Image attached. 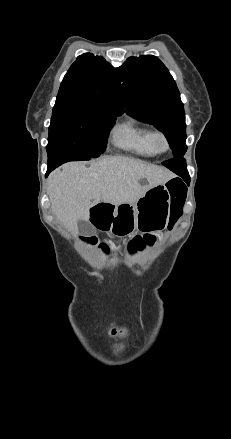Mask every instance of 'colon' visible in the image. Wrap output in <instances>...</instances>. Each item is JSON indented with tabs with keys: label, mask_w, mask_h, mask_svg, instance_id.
<instances>
[{
	"label": "colon",
	"mask_w": 231,
	"mask_h": 439,
	"mask_svg": "<svg viewBox=\"0 0 231 439\" xmlns=\"http://www.w3.org/2000/svg\"><path fill=\"white\" fill-rule=\"evenodd\" d=\"M168 191L173 199V204L175 207L174 219H177L181 215V207L184 203L186 196V187L183 183L177 180L170 181L168 183ZM87 242L91 244H97V239L95 237L86 238ZM99 248L102 252L106 253L108 248L105 244H99Z\"/></svg>",
	"instance_id": "5ec220e1"
}]
</instances>
